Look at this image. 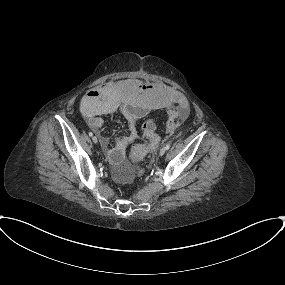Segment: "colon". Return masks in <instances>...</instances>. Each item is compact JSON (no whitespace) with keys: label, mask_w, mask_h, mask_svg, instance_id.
Wrapping results in <instances>:
<instances>
[{"label":"colon","mask_w":285,"mask_h":285,"mask_svg":"<svg viewBox=\"0 0 285 285\" xmlns=\"http://www.w3.org/2000/svg\"><path fill=\"white\" fill-rule=\"evenodd\" d=\"M180 121L177 117L171 116L166 124L168 130L178 127ZM142 136L147 141V146L136 145L133 147L132 160L140 163L144 160L151 148L155 147L160 141V135L157 131L156 123L153 119L147 118L142 123Z\"/></svg>","instance_id":"colon-1"}]
</instances>
